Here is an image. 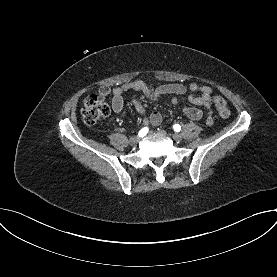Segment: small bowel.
<instances>
[{
  "mask_svg": "<svg viewBox=\"0 0 277 277\" xmlns=\"http://www.w3.org/2000/svg\"><path fill=\"white\" fill-rule=\"evenodd\" d=\"M136 91L141 92L147 99L153 101H162L167 97H171L173 104L177 103V96L184 95L190 92L188 99L194 106H202L208 112L209 116L207 124H212L211 108H212V96L213 89L206 85H198L196 83H190L189 85H183L178 83L163 84L157 87H152L141 80H135L129 83L122 84L114 89L110 90L108 87H101L98 90L99 94L108 96L111 94L112 101L111 106L113 111L125 117L124 111V98L123 95L126 92ZM135 110L143 116V123L158 126L162 122V115L155 111L147 115L144 105L137 99L132 101ZM184 106L181 107L182 113L191 120H199L203 116V111L197 107Z\"/></svg>",
  "mask_w": 277,
  "mask_h": 277,
  "instance_id": "obj_1",
  "label": "small bowel"
}]
</instances>
